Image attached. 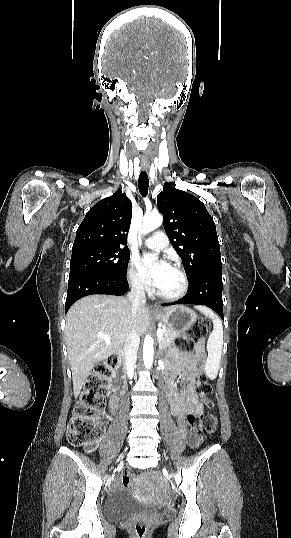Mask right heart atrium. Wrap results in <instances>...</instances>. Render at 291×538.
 <instances>
[{"label":"right heart atrium","instance_id":"right-heart-atrium-1","mask_svg":"<svg viewBox=\"0 0 291 538\" xmlns=\"http://www.w3.org/2000/svg\"><path fill=\"white\" fill-rule=\"evenodd\" d=\"M128 280L133 289L137 291H145L148 288L146 280L138 272L136 268V262L134 259H131L128 269Z\"/></svg>","mask_w":291,"mask_h":538}]
</instances>
